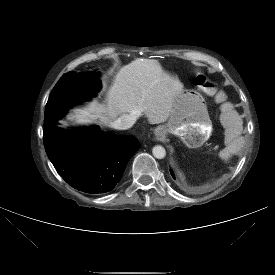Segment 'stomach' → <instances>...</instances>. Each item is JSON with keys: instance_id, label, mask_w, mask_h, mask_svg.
I'll return each instance as SVG.
<instances>
[{"instance_id": "obj_1", "label": "stomach", "mask_w": 275, "mask_h": 275, "mask_svg": "<svg viewBox=\"0 0 275 275\" xmlns=\"http://www.w3.org/2000/svg\"><path fill=\"white\" fill-rule=\"evenodd\" d=\"M166 133L179 136L190 148L201 146L211 135L212 122L200 93L180 89L173 96Z\"/></svg>"}]
</instances>
